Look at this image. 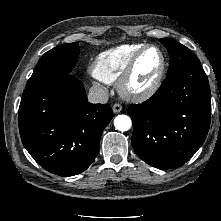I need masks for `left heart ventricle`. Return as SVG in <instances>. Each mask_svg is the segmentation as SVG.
<instances>
[{
  "instance_id": "b2bd125f",
  "label": "left heart ventricle",
  "mask_w": 221,
  "mask_h": 221,
  "mask_svg": "<svg viewBox=\"0 0 221 221\" xmlns=\"http://www.w3.org/2000/svg\"><path fill=\"white\" fill-rule=\"evenodd\" d=\"M160 54L156 49H148L140 58L135 73L131 80V86L136 89L145 88L154 79L160 67Z\"/></svg>"
}]
</instances>
